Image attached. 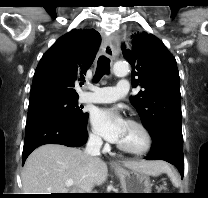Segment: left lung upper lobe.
Wrapping results in <instances>:
<instances>
[{"label":"left lung upper lobe","mask_w":208,"mask_h":198,"mask_svg":"<svg viewBox=\"0 0 208 198\" xmlns=\"http://www.w3.org/2000/svg\"><path fill=\"white\" fill-rule=\"evenodd\" d=\"M122 49L132 66V87L142 88L130 101L152 140L164 133L183 140L180 78L175 58L160 39L147 32L135 34L130 49L124 46Z\"/></svg>","instance_id":"1"}]
</instances>
